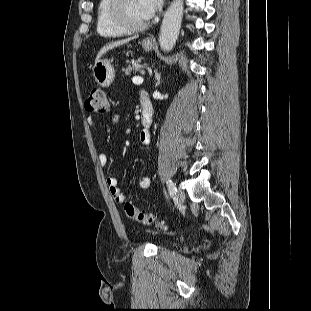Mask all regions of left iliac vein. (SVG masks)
<instances>
[{"label": "left iliac vein", "instance_id": "1", "mask_svg": "<svg viewBox=\"0 0 311 311\" xmlns=\"http://www.w3.org/2000/svg\"><path fill=\"white\" fill-rule=\"evenodd\" d=\"M176 199L179 203H182L185 200V193L181 188L176 191Z\"/></svg>", "mask_w": 311, "mask_h": 311}]
</instances>
